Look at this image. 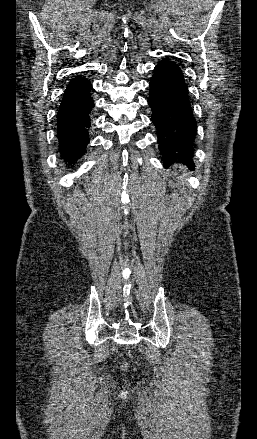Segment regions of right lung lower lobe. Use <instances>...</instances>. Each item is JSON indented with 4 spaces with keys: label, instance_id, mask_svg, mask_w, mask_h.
<instances>
[{
    "label": "right lung lower lobe",
    "instance_id": "obj_1",
    "mask_svg": "<svg viewBox=\"0 0 257 439\" xmlns=\"http://www.w3.org/2000/svg\"><path fill=\"white\" fill-rule=\"evenodd\" d=\"M91 83L81 76L67 86L57 117V137L61 157L70 164L79 159L89 143V114L94 107Z\"/></svg>",
    "mask_w": 257,
    "mask_h": 439
}]
</instances>
